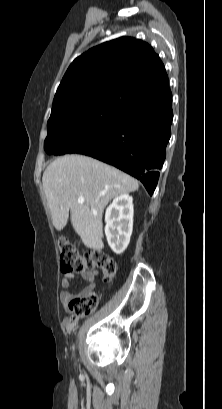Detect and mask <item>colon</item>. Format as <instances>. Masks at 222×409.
<instances>
[{"label": "colon", "instance_id": "obj_1", "mask_svg": "<svg viewBox=\"0 0 222 409\" xmlns=\"http://www.w3.org/2000/svg\"><path fill=\"white\" fill-rule=\"evenodd\" d=\"M60 268L64 273H84L101 268L104 282L111 281L116 275V264L112 258L100 251L79 253L76 246L67 239L59 241ZM96 293L81 292L69 302L71 315L76 318L91 314L97 307Z\"/></svg>", "mask_w": 222, "mask_h": 409}]
</instances>
